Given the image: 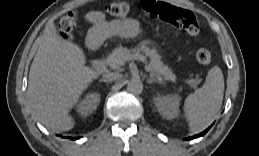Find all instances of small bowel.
<instances>
[{"mask_svg":"<svg viewBox=\"0 0 259 156\" xmlns=\"http://www.w3.org/2000/svg\"><path fill=\"white\" fill-rule=\"evenodd\" d=\"M86 19L92 24L90 39L93 44L108 36L133 37L140 32V23L135 19L108 21L99 11L89 12Z\"/></svg>","mask_w":259,"mask_h":156,"instance_id":"c3829d8e","label":"small bowel"}]
</instances>
